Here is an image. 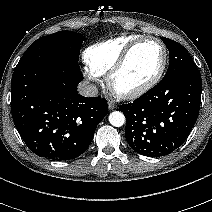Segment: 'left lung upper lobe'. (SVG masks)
Masks as SVG:
<instances>
[{
  "label": "left lung upper lobe",
  "mask_w": 212,
  "mask_h": 212,
  "mask_svg": "<svg viewBox=\"0 0 212 212\" xmlns=\"http://www.w3.org/2000/svg\"><path fill=\"white\" fill-rule=\"evenodd\" d=\"M161 39L169 50L170 63L165 76L160 82H165L183 72L197 69L185 47L171 39L165 37H161Z\"/></svg>",
  "instance_id": "1"
}]
</instances>
